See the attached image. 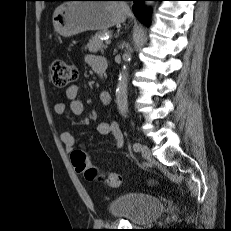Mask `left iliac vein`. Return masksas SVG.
<instances>
[{"label": "left iliac vein", "mask_w": 231, "mask_h": 231, "mask_svg": "<svg viewBox=\"0 0 231 231\" xmlns=\"http://www.w3.org/2000/svg\"><path fill=\"white\" fill-rule=\"evenodd\" d=\"M141 155L144 159L151 160V158H152L151 152H150V149L147 145H143L141 147Z\"/></svg>", "instance_id": "1"}]
</instances>
